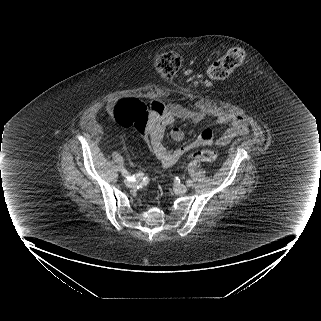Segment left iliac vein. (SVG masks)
Here are the masks:
<instances>
[{"mask_svg": "<svg viewBox=\"0 0 321 321\" xmlns=\"http://www.w3.org/2000/svg\"><path fill=\"white\" fill-rule=\"evenodd\" d=\"M174 190L177 194H185L188 190L187 186L183 184H178L174 187Z\"/></svg>", "mask_w": 321, "mask_h": 321, "instance_id": "obj_1", "label": "left iliac vein"}]
</instances>
